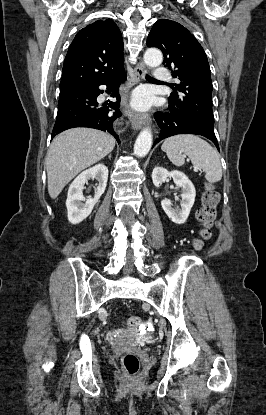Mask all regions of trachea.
<instances>
[{
    "mask_svg": "<svg viewBox=\"0 0 266 415\" xmlns=\"http://www.w3.org/2000/svg\"><path fill=\"white\" fill-rule=\"evenodd\" d=\"M146 77H147V78H149V79H152V78H151L150 76H148V75H147Z\"/></svg>",
    "mask_w": 266,
    "mask_h": 415,
    "instance_id": "obj_1",
    "label": "trachea"
}]
</instances>
